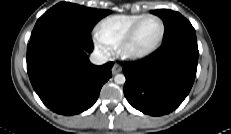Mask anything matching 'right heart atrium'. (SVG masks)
<instances>
[{"label":"right heart atrium","mask_w":231,"mask_h":134,"mask_svg":"<svg viewBox=\"0 0 231 134\" xmlns=\"http://www.w3.org/2000/svg\"><path fill=\"white\" fill-rule=\"evenodd\" d=\"M95 46L98 50H100L104 54L109 53V48L105 46L103 43H101L98 39L95 40Z\"/></svg>","instance_id":"1"}]
</instances>
